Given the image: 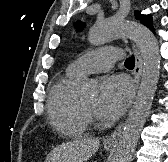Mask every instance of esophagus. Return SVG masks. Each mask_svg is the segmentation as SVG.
Here are the masks:
<instances>
[{"label":"esophagus","mask_w":168,"mask_h":162,"mask_svg":"<svg viewBox=\"0 0 168 162\" xmlns=\"http://www.w3.org/2000/svg\"><path fill=\"white\" fill-rule=\"evenodd\" d=\"M133 49L135 53V68H134V79L136 89L139 87L141 75H142V57L136 46L133 44ZM124 123H120L117 128L104 139L106 145H115L122 133Z\"/></svg>","instance_id":"1"}]
</instances>
